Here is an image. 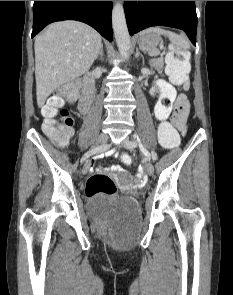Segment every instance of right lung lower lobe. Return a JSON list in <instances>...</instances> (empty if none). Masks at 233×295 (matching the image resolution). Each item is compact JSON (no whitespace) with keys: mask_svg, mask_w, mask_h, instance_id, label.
Instances as JSON below:
<instances>
[{"mask_svg":"<svg viewBox=\"0 0 233 295\" xmlns=\"http://www.w3.org/2000/svg\"><path fill=\"white\" fill-rule=\"evenodd\" d=\"M112 1H34L32 37L49 23L79 20L112 41Z\"/></svg>","mask_w":233,"mask_h":295,"instance_id":"1","label":"right lung lower lobe"}]
</instances>
